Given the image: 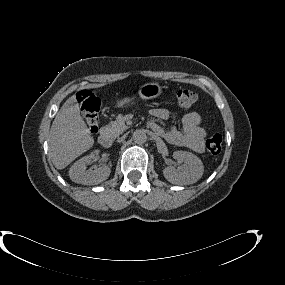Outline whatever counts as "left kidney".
Returning <instances> with one entry per match:
<instances>
[{"label": "left kidney", "instance_id": "1", "mask_svg": "<svg viewBox=\"0 0 285 285\" xmlns=\"http://www.w3.org/2000/svg\"><path fill=\"white\" fill-rule=\"evenodd\" d=\"M174 158L184 162L177 170L168 166L163 170L164 177L172 184L188 185L197 182L203 175L202 161L193 153L187 151H175Z\"/></svg>", "mask_w": 285, "mask_h": 285}]
</instances>
